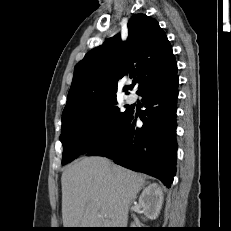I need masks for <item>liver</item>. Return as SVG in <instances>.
Wrapping results in <instances>:
<instances>
[{
    "instance_id": "1",
    "label": "liver",
    "mask_w": 231,
    "mask_h": 231,
    "mask_svg": "<svg viewBox=\"0 0 231 231\" xmlns=\"http://www.w3.org/2000/svg\"><path fill=\"white\" fill-rule=\"evenodd\" d=\"M61 184L64 228H126L145 179L105 158L84 157L67 166Z\"/></svg>"
}]
</instances>
